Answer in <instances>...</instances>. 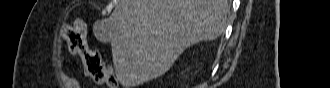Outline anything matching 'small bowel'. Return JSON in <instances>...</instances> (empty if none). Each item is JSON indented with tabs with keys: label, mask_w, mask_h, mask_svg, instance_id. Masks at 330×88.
Masks as SVG:
<instances>
[{
	"label": "small bowel",
	"mask_w": 330,
	"mask_h": 88,
	"mask_svg": "<svg viewBox=\"0 0 330 88\" xmlns=\"http://www.w3.org/2000/svg\"><path fill=\"white\" fill-rule=\"evenodd\" d=\"M81 25H82V28H83V31H84L85 25H84L83 23H81ZM59 77H60L64 82H66L68 85H71V84H72V80H71L68 76H66L65 74L60 73V74H59Z\"/></svg>",
	"instance_id": "1"
}]
</instances>
